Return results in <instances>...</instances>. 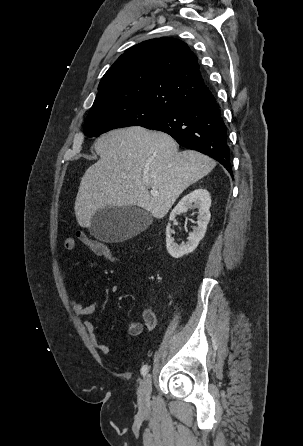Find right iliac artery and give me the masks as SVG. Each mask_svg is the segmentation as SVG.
I'll return each mask as SVG.
<instances>
[{
  "label": "right iliac artery",
  "instance_id": "right-iliac-artery-1",
  "mask_svg": "<svg viewBox=\"0 0 303 446\" xmlns=\"http://www.w3.org/2000/svg\"><path fill=\"white\" fill-rule=\"evenodd\" d=\"M148 368H149L148 365H144V366L142 367V369H141V374H142L143 376H145V375L147 374V372H148Z\"/></svg>",
  "mask_w": 303,
  "mask_h": 446
}]
</instances>
